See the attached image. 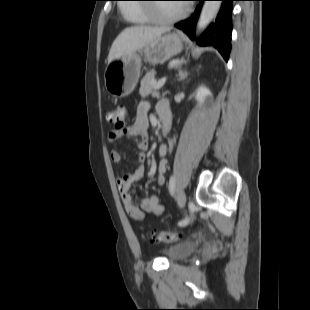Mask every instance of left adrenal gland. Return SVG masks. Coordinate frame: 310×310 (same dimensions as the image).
Listing matches in <instances>:
<instances>
[{"mask_svg": "<svg viewBox=\"0 0 310 310\" xmlns=\"http://www.w3.org/2000/svg\"><path fill=\"white\" fill-rule=\"evenodd\" d=\"M189 74L187 73V71H183L182 69H180L179 71V81H183L184 79L187 78Z\"/></svg>", "mask_w": 310, "mask_h": 310, "instance_id": "obj_1", "label": "left adrenal gland"}]
</instances>
